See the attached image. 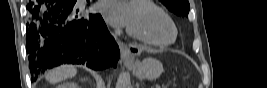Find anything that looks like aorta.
<instances>
[{"label": "aorta", "mask_w": 267, "mask_h": 88, "mask_svg": "<svg viewBox=\"0 0 267 88\" xmlns=\"http://www.w3.org/2000/svg\"><path fill=\"white\" fill-rule=\"evenodd\" d=\"M115 88H128V84L123 75H119Z\"/></svg>", "instance_id": "1"}]
</instances>
